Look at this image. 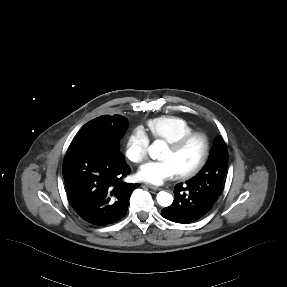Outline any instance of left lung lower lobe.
Masks as SVG:
<instances>
[{"label":"left lung lower lobe","mask_w":287,"mask_h":287,"mask_svg":"<svg viewBox=\"0 0 287 287\" xmlns=\"http://www.w3.org/2000/svg\"><path fill=\"white\" fill-rule=\"evenodd\" d=\"M213 192H205L200 186L189 181L174 187L173 203L161 211V215L176 223H191L204 216L216 202L220 191L217 187Z\"/></svg>","instance_id":"1"}]
</instances>
